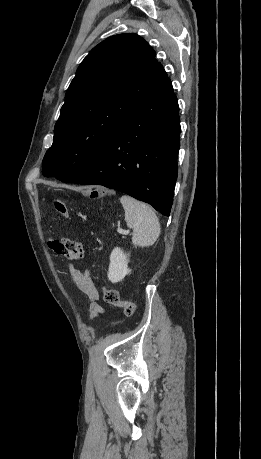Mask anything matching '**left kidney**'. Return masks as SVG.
Masks as SVG:
<instances>
[{"mask_svg": "<svg viewBox=\"0 0 261 459\" xmlns=\"http://www.w3.org/2000/svg\"><path fill=\"white\" fill-rule=\"evenodd\" d=\"M128 255L120 248H114L110 255V265L108 270V279L112 283L121 281L131 272L128 268Z\"/></svg>", "mask_w": 261, "mask_h": 459, "instance_id": "1", "label": "left kidney"}]
</instances>
